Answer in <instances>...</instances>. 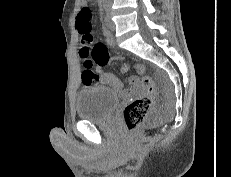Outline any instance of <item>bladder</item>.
<instances>
[{
    "mask_svg": "<svg viewBox=\"0 0 231 177\" xmlns=\"http://www.w3.org/2000/svg\"><path fill=\"white\" fill-rule=\"evenodd\" d=\"M119 102L115 91L103 86L82 90L76 99V114L79 119L91 122L105 121Z\"/></svg>",
    "mask_w": 231,
    "mask_h": 177,
    "instance_id": "1",
    "label": "bladder"
}]
</instances>
